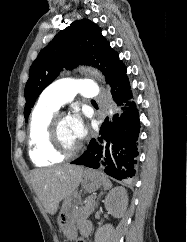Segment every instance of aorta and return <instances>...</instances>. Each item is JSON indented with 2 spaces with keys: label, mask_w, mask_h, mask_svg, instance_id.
Returning a JSON list of instances; mask_svg holds the SVG:
<instances>
[{
  "label": "aorta",
  "mask_w": 187,
  "mask_h": 242,
  "mask_svg": "<svg viewBox=\"0 0 187 242\" xmlns=\"http://www.w3.org/2000/svg\"><path fill=\"white\" fill-rule=\"evenodd\" d=\"M89 71L94 75V76H98V77H102L101 73L96 70V69H89Z\"/></svg>",
  "instance_id": "762f6f07"
}]
</instances>
